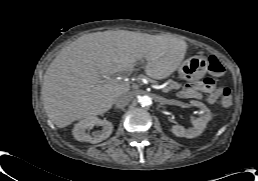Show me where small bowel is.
Segmentation results:
<instances>
[{
  "label": "small bowel",
  "mask_w": 258,
  "mask_h": 181,
  "mask_svg": "<svg viewBox=\"0 0 258 181\" xmlns=\"http://www.w3.org/2000/svg\"><path fill=\"white\" fill-rule=\"evenodd\" d=\"M221 94V90L217 89L211 78H206L201 82L187 84L179 93L183 98L202 99L214 104Z\"/></svg>",
  "instance_id": "1"
}]
</instances>
